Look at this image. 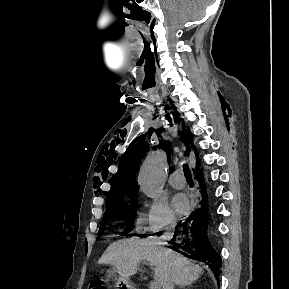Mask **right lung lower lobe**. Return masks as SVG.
<instances>
[{"label":"right lung lower lobe","mask_w":289,"mask_h":289,"mask_svg":"<svg viewBox=\"0 0 289 289\" xmlns=\"http://www.w3.org/2000/svg\"><path fill=\"white\" fill-rule=\"evenodd\" d=\"M196 179L199 186L197 206L188 217L177 224L169 243L176 246L175 250L186 257L205 262L215 272L219 281L221 257L210 244L213 225L208 221L207 194L201 173L196 175Z\"/></svg>","instance_id":"obj_1"}]
</instances>
